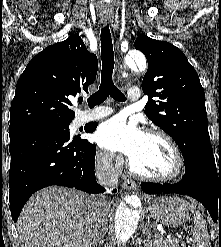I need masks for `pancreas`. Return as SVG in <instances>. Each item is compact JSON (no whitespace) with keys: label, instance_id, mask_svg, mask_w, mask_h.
Here are the masks:
<instances>
[{"label":"pancreas","instance_id":"1","mask_svg":"<svg viewBox=\"0 0 221 247\" xmlns=\"http://www.w3.org/2000/svg\"><path fill=\"white\" fill-rule=\"evenodd\" d=\"M155 247H179L178 240L169 241L165 239L163 234L156 233L155 234Z\"/></svg>","mask_w":221,"mask_h":247}]
</instances>
